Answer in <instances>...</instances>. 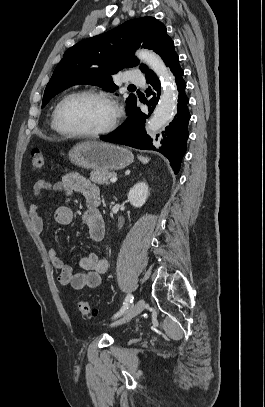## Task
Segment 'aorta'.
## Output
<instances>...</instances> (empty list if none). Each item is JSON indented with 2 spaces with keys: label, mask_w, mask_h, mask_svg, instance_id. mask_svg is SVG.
<instances>
[{
  "label": "aorta",
  "mask_w": 265,
  "mask_h": 407,
  "mask_svg": "<svg viewBox=\"0 0 265 407\" xmlns=\"http://www.w3.org/2000/svg\"><path fill=\"white\" fill-rule=\"evenodd\" d=\"M137 57L143 60L161 79L162 94L154 110L152 117L147 123V130L155 132L165 126L177 109V89L175 78L170 69L166 67L162 59L155 53L148 50H140Z\"/></svg>",
  "instance_id": "aorta-1"
}]
</instances>
